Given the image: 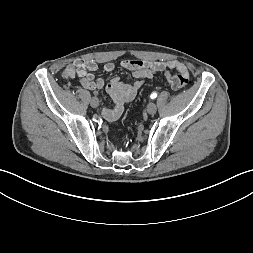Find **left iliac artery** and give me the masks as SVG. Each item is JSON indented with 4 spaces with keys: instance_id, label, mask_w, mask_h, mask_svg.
Instances as JSON below:
<instances>
[{
    "instance_id": "1",
    "label": "left iliac artery",
    "mask_w": 253,
    "mask_h": 253,
    "mask_svg": "<svg viewBox=\"0 0 253 253\" xmlns=\"http://www.w3.org/2000/svg\"><path fill=\"white\" fill-rule=\"evenodd\" d=\"M156 96H157V94H156V93H152L150 97H151V99H155V98H156Z\"/></svg>"
}]
</instances>
